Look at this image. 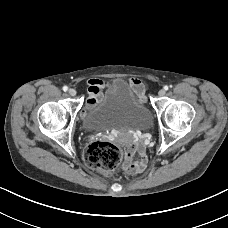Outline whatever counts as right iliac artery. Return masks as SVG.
<instances>
[{
    "label": "right iliac artery",
    "mask_w": 228,
    "mask_h": 228,
    "mask_svg": "<svg viewBox=\"0 0 228 228\" xmlns=\"http://www.w3.org/2000/svg\"><path fill=\"white\" fill-rule=\"evenodd\" d=\"M68 90V87L67 86H64L63 87V91L66 92Z\"/></svg>",
    "instance_id": "right-iliac-artery-1"
}]
</instances>
